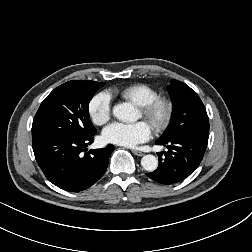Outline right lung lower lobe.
Returning <instances> with one entry per match:
<instances>
[{
	"label": "right lung lower lobe",
	"mask_w": 252,
	"mask_h": 252,
	"mask_svg": "<svg viewBox=\"0 0 252 252\" xmlns=\"http://www.w3.org/2000/svg\"><path fill=\"white\" fill-rule=\"evenodd\" d=\"M95 133L80 138L63 136L32 138L36 161L51 183L66 191L79 192L89 188L101 178L115 148L109 144L104 149L87 152L85 148L94 141Z\"/></svg>",
	"instance_id": "obj_1"
}]
</instances>
